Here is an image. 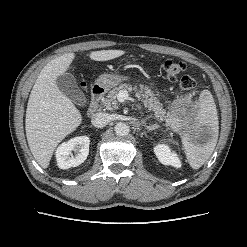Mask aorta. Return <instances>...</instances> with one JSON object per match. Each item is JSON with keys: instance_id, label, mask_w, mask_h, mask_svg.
I'll return each mask as SVG.
<instances>
[{"instance_id": "obj_1", "label": "aorta", "mask_w": 247, "mask_h": 247, "mask_svg": "<svg viewBox=\"0 0 247 247\" xmlns=\"http://www.w3.org/2000/svg\"><path fill=\"white\" fill-rule=\"evenodd\" d=\"M114 131L118 136H126L129 134L130 128L127 124L119 122L115 125Z\"/></svg>"}]
</instances>
